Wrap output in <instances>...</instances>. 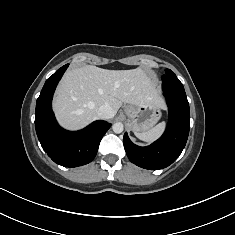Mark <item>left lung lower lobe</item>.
Listing matches in <instances>:
<instances>
[{
	"label": "left lung lower lobe",
	"instance_id": "obj_1",
	"mask_svg": "<svg viewBox=\"0 0 235 235\" xmlns=\"http://www.w3.org/2000/svg\"><path fill=\"white\" fill-rule=\"evenodd\" d=\"M162 88L169 109V122L164 134L154 143L140 147L131 142L127 133L123 144L128 158L139 167L158 170L172 164L184 149L189 129V103L178 78L162 77Z\"/></svg>",
	"mask_w": 235,
	"mask_h": 235
}]
</instances>
